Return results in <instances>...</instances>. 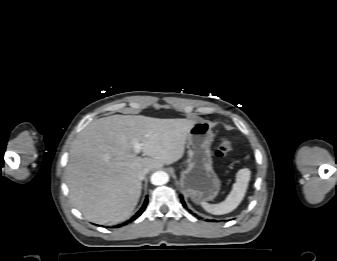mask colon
<instances>
[{
  "instance_id": "obj_1",
  "label": "colon",
  "mask_w": 337,
  "mask_h": 261,
  "mask_svg": "<svg viewBox=\"0 0 337 261\" xmlns=\"http://www.w3.org/2000/svg\"><path fill=\"white\" fill-rule=\"evenodd\" d=\"M233 152V144L229 139H223L216 150V156L219 158L228 157Z\"/></svg>"
}]
</instances>
